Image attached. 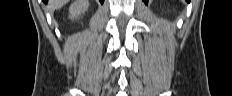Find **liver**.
Returning a JSON list of instances; mask_svg holds the SVG:
<instances>
[{"mask_svg":"<svg viewBox=\"0 0 232 96\" xmlns=\"http://www.w3.org/2000/svg\"><path fill=\"white\" fill-rule=\"evenodd\" d=\"M69 0H49V8L56 10L65 5Z\"/></svg>","mask_w":232,"mask_h":96,"instance_id":"liver-1","label":"liver"}]
</instances>
